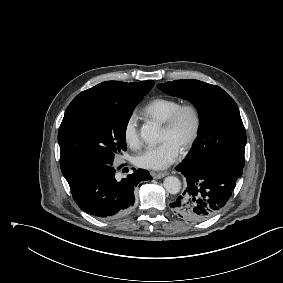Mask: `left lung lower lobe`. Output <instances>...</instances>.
I'll list each match as a JSON object with an SVG mask.
<instances>
[{
  "mask_svg": "<svg viewBox=\"0 0 283 283\" xmlns=\"http://www.w3.org/2000/svg\"><path fill=\"white\" fill-rule=\"evenodd\" d=\"M176 169L185 176L187 187L170 207L180 218L193 222L204 221L224 207L243 173L242 168L224 163L197 169L181 163Z\"/></svg>",
  "mask_w": 283,
  "mask_h": 283,
  "instance_id": "left-lung-lower-lobe-1",
  "label": "left lung lower lobe"
}]
</instances>
